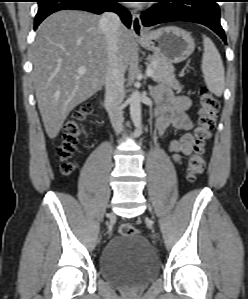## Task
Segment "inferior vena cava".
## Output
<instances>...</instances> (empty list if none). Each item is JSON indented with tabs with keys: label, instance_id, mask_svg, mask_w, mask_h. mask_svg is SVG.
<instances>
[{
	"label": "inferior vena cava",
	"instance_id": "obj_1",
	"mask_svg": "<svg viewBox=\"0 0 248 299\" xmlns=\"http://www.w3.org/2000/svg\"><path fill=\"white\" fill-rule=\"evenodd\" d=\"M120 25V18L112 12H105L99 22L100 28L105 33L108 53L105 102L111 124L117 133L122 131V102L124 99V74L118 58V30Z\"/></svg>",
	"mask_w": 248,
	"mask_h": 299
}]
</instances>
